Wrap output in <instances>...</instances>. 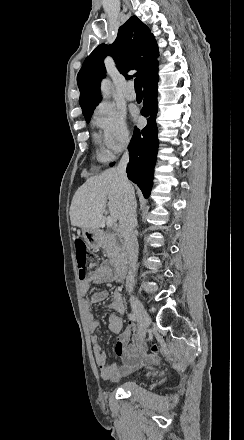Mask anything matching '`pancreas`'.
I'll use <instances>...</instances> for the list:
<instances>
[{
	"instance_id": "pancreas-1",
	"label": "pancreas",
	"mask_w": 244,
	"mask_h": 440,
	"mask_svg": "<svg viewBox=\"0 0 244 440\" xmlns=\"http://www.w3.org/2000/svg\"><path fill=\"white\" fill-rule=\"evenodd\" d=\"M102 234V246L104 250V254H107V258H109L110 262L112 264H118L120 262L121 258V246L118 242L119 240V234Z\"/></svg>"
}]
</instances>
